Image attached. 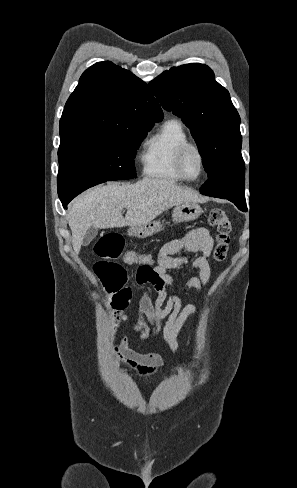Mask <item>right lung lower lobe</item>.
<instances>
[{
	"instance_id": "98d812e1",
	"label": "right lung lower lobe",
	"mask_w": 297,
	"mask_h": 488,
	"mask_svg": "<svg viewBox=\"0 0 297 488\" xmlns=\"http://www.w3.org/2000/svg\"><path fill=\"white\" fill-rule=\"evenodd\" d=\"M68 203H69L68 201L62 202V204L64 205V207H65V208H66V205H67Z\"/></svg>"
}]
</instances>
